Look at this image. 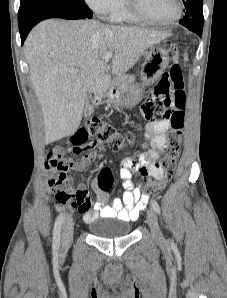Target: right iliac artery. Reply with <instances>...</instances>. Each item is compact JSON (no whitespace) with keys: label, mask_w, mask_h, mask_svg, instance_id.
Instances as JSON below:
<instances>
[{"label":"right iliac artery","mask_w":227,"mask_h":298,"mask_svg":"<svg viewBox=\"0 0 227 298\" xmlns=\"http://www.w3.org/2000/svg\"><path fill=\"white\" fill-rule=\"evenodd\" d=\"M63 222V214H60L54 225L53 230V252L54 254L58 253L59 247H60V232H61V226Z\"/></svg>","instance_id":"82829eb1"}]
</instances>
